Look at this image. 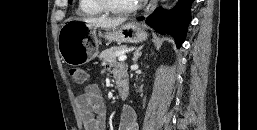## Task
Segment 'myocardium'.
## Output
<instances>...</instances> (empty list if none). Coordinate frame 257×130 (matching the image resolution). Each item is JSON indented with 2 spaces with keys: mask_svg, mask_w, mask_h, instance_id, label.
<instances>
[{
  "mask_svg": "<svg viewBox=\"0 0 257 130\" xmlns=\"http://www.w3.org/2000/svg\"><path fill=\"white\" fill-rule=\"evenodd\" d=\"M144 0H139L137 3L129 7H118L110 0H94L95 4L105 12L114 14H128L138 10Z\"/></svg>",
  "mask_w": 257,
  "mask_h": 130,
  "instance_id": "1",
  "label": "myocardium"
}]
</instances>
